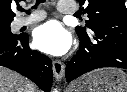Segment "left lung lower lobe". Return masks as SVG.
<instances>
[{
  "mask_svg": "<svg viewBox=\"0 0 127 92\" xmlns=\"http://www.w3.org/2000/svg\"><path fill=\"white\" fill-rule=\"evenodd\" d=\"M80 49L66 65V80L102 67L127 69V28L99 27L78 35Z\"/></svg>",
  "mask_w": 127,
  "mask_h": 92,
  "instance_id": "0a47b994",
  "label": "left lung lower lobe"
}]
</instances>
